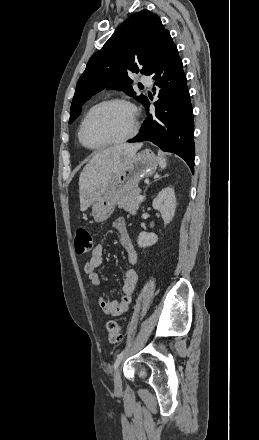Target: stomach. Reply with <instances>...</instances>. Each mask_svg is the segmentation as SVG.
Masks as SVG:
<instances>
[{"label": "stomach", "mask_w": 259, "mask_h": 440, "mask_svg": "<svg viewBox=\"0 0 259 440\" xmlns=\"http://www.w3.org/2000/svg\"><path fill=\"white\" fill-rule=\"evenodd\" d=\"M157 166L158 159L151 150L135 154L120 172L113 175L106 190L93 202L94 220L97 223L107 220L119 201L135 189L141 179L153 175Z\"/></svg>", "instance_id": "stomach-1"}]
</instances>
